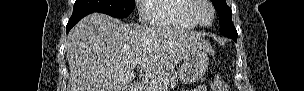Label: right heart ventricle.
<instances>
[{
    "label": "right heart ventricle",
    "instance_id": "obj_1",
    "mask_svg": "<svg viewBox=\"0 0 304 91\" xmlns=\"http://www.w3.org/2000/svg\"><path fill=\"white\" fill-rule=\"evenodd\" d=\"M147 12L151 24L161 28L193 30L196 28L188 16L189 0H150Z\"/></svg>",
    "mask_w": 304,
    "mask_h": 91
}]
</instances>
